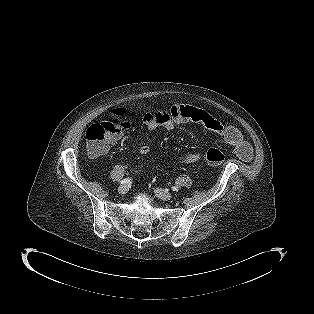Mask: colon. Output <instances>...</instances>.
I'll return each mask as SVG.
<instances>
[{
    "mask_svg": "<svg viewBox=\"0 0 314 314\" xmlns=\"http://www.w3.org/2000/svg\"><path fill=\"white\" fill-rule=\"evenodd\" d=\"M119 111L116 116L101 123L92 124L85 132L86 146L89 155L101 156L107 152L111 141L127 129V122ZM225 155L218 149L212 148L206 153V162L210 166L221 164Z\"/></svg>",
    "mask_w": 314,
    "mask_h": 314,
    "instance_id": "colon-1",
    "label": "colon"
}]
</instances>
